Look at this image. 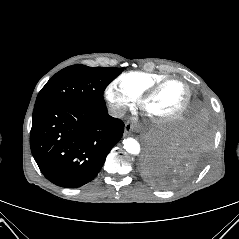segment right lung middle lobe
I'll use <instances>...</instances> for the list:
<instances>
[{
	"label": "right lung middle lobe",
	"instance_id": "1",
	"mask_svg": "<svg viewBox=\"0 0 239 239\" xmlns=\"http://www.w3.org/2000/svg\"><path fill=\"white\" fill-rule=\"evenodd\" d=\"M122 70L72 65L56 73L39 92L35 107L51 104L106 106L103 92Z\"/></svg>",
	"mask_w": 239,
	"mask_h": 239
}]
</instances>
